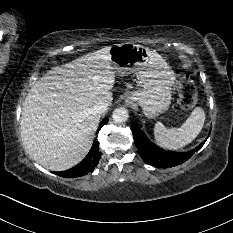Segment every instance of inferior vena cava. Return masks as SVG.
Wrapping results in <instances>:
<instances>
[{"label":"inferior vena cava","mask_w":233,"mask_h":233,"mask_svg":"<svg viewBox=\"0 0 233 233\" xmlns=\"http://www.w3.org/2000/svg\"><path fill=\"white\" fill-rule=\"evenodd\" d=\"M109 104L105 101H99L93 106V111L97 114H103L107 111Z\"/></svg>","instance_id":"inferior-vena-cava-1"}]
</instances>
